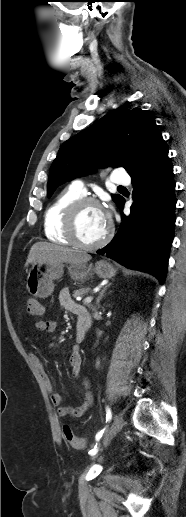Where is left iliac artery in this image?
I'll return each mask as SVG.
<instances>
[{
  "mask_svg": "<svg viewBox=\"0 0 186 517\" xmlns=\"http://www.w3.org/2000/svg\"><path fill=\"white\" fill-rule=\"evenodd\" d=\"M111 418H112V412H111V409L107 406L106 407V421H110ZM102 434H103V430L96 434L95 438H96L97 442H99V440L101 439ZM97 451H98V447H97V443H96L95 447L89 451V454L95 455L97 453Z\"/></svg>",
  "mask_w": 186,
  "mask_h": 517,
  "instance_id": "44dca946",
  "label": "left iliac artery"
}]
</instances>
